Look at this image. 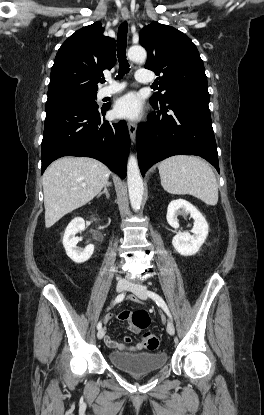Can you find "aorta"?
I'll use <instances>...</instances> for the list:
<instances>
[{"label": "aorta", "instance_id": "762f6f07", "mask_svg": "<svg viewBox=\"0 0 264 415\" xmlns=\"http://www.w3.org/2000/svg\"><path fill=\"white\" fill-rule=\"evenodd\" d=\"M128 57L134 62H143L147 57V53L141 46H132L128 50ZM127 184L131 206L133 210L137 211L140 209L142 203L144 188L138 162L133 155L128 159Z\"/></svg>", "mask_w": 264, "mask_h": 415}]
</instances>
